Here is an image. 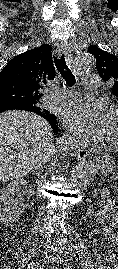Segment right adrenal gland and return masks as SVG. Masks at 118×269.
<instances>
[{"label":"right adrenal gland","instance_id":"right-adrenal-gland-1","mask_svg":"<svg viewBox=\"0 0 118 269\" xmlns=\"http://www.w3.org/2000/svg\"><path fill=\"white\" fill-rule=\"evenodd\" d=\"M41 171H42V166H37L35 167V170H33L32 172H35L37 176H40Z\"/></svg>","mask_w":118,"mask_h":269}]
</instances>
